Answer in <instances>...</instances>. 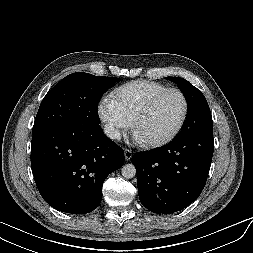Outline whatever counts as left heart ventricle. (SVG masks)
<instances>
[{
  "label": "left heart ventricle",
  "mask_w": 253,
  "mask_h": 253,
  "mask_svg": "<svg viewBox=\"0 0 253 253\" xmlns=\"http://www.w3.org/2000/svg\"><path fill=\"white\" fill-rule=\"evenodd\" d=\"M182 112L183 101L180 95L169 93L158 101L136 133L146 141L161 139L173 131Z\"/></svg>",
  "instance_id": "left-heart-ventricle-1"
}]
</instances>
